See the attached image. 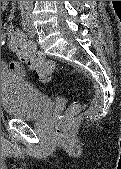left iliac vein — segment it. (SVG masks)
I'll list each match as a JSON object with an SVG mask.
<instances>
[{
	"instance_id": "1",
	"label": "left iliac vein",
	"mask_w": 121,
	"mask_h": 169,
	"mask_svg": "<svg viewBox=\"0 0 121 169\" xmlns=\"http://www.w3.org/2000/svg\"><path fill=\"white\" fill-rule=\"evenodd\" d=\"M26 30H27V33L30 35V36H35L36 35V30L32 24V21H31V18L30 16H27V24H26Z\"/></svg>"
}]
</instances>
